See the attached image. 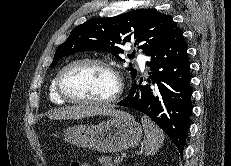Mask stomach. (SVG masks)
<instances>
[{"label":"stomach","mask_w":231,"mask_h":166,"mask_svg":"<svg viewBox=\"0 0 231 166\" xmlns=\"http://www.w3.org/2000/svg\"><path fill=\"white\" fill-rule=\"evenodd\" d=\"M142 127L128 113H121L95 125H75L64 131V139L78 147L116 153L141 141Z\"/></svg>","instance_id":"1"}]
</instances>
